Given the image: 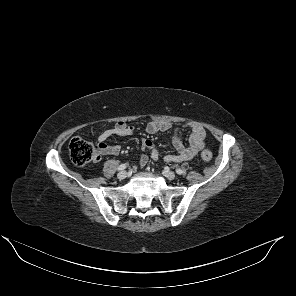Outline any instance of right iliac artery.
<instances>
[{
	"label": "right iliac artery",
	"mask_w": 296,
	"mask_h": 296,
	"mask_svg": "<svg viewBox=\"0 0 296 296\" xmlns=\"http://www.w3.org/2000/svg\"><path fill=\"white\" fill-rule=\"evenodd\" d=\"M126 164H121L118 168H117V170L118 171H122V170H124V169H126Z\"/></svg>",
	"instance_id": "right-iliac-artery-1"
}]
</instances>
